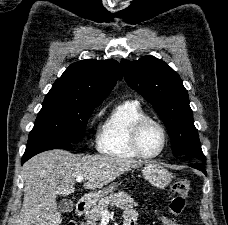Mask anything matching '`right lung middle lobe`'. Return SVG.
Wrapping results in <instances>:
<instances>
[{"mask_svg":"<svg viewBox=\"0 0 228 225\" xmlns=\"http://www.w3.org/2000/svg\"><path fill=\"white\" fill-rule=\"evenodd\" d=\"M99 104L48 93L27 145L45 140L82 141L87 121Z\"/></svg>","mask_w":228,"mask_h":225,"instance_id":"dd1d6c3e","label":"right lung middle lobe"}]
</instances>
